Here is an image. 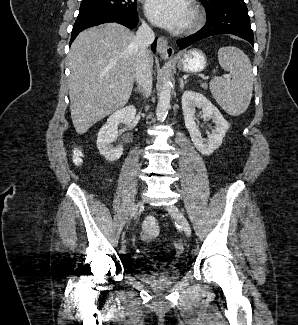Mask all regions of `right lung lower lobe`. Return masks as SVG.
I'll return each instance as SVG.
<instances>
[{"label":"right lung lower lobe","instance_id":"right-lung-lower-lobe-1","mask_svg":"<svg viewBox=\"0 0 298 325\" xmlns=\"http://www.w3.org/2000/svg\"><path fill=\"white\" fill-rule=\"evenodd\" d=\"M106 22H117L130 29H133L137 26L138 16L136 11L125 12L118 10L103 11L82 16L78 15L77 20L73 26L70 43H72L76 36L84 29ZM156 41L157 40H155L151 45L153 52L156 51Z\"/></svg>","mask_w":298,"mask_h":325}]
</instances>
